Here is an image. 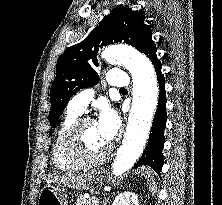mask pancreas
<instances>
[{
	"label": "pancreas",
	"instance_id": "cf45deb5",
	"mask_svg": "<svg viewBox=\"0 0 222 205\" xmlns=\"http://www.w3.org/2000/svg\"><path fill=\"white\" fill-rule=\"evenodd\" d=\"M98 199L96 197L84 198L79 196L75 205H97Z\"/></svg>",
	"mask_w": 222,
	"mask_h": 205
}]
</instances>
